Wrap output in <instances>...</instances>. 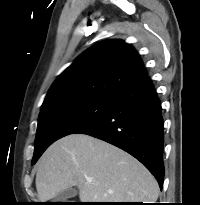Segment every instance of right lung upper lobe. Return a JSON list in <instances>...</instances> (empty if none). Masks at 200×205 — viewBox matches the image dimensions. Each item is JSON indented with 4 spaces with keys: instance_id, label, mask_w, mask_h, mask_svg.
Listing matches in <instances>:
<instances>
[{
    "instance_id": "1",
    "label": "right lung upper lobe",
    "mask_w": 200,
    "mask_h": 205,
    "mask_svg": "<svg viewBox=\"0 0 200 205\" xmlns=\"http://www.w3.org/2000/svg\"><path fill=\"white\" fill-rule=\"evenodd\" d=\"M147 77L137 51L122 40H109L83 52L53 83L43 104L78 96L116 98Z\"/></svg>"
}]
</instances>
